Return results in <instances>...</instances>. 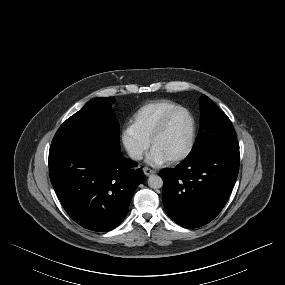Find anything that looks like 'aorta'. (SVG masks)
Segmentation results:
<instances>
[{
	"label": "aorta",
	"instance_id": "obj_1",
	"mask_svg": "<svg viewBox=\"0 0 285 285\" xmlns=\"http://www.w3.org/2000/svg\"><path fill=\"white\" fill-rule=\"evenodd\" d=\"M148 185L152 189H159L163 185V180L158 175H151L148 178Z\"/></svg>",
	"mask_w": 285,
	"mask_h": 285
}]
</instances>
